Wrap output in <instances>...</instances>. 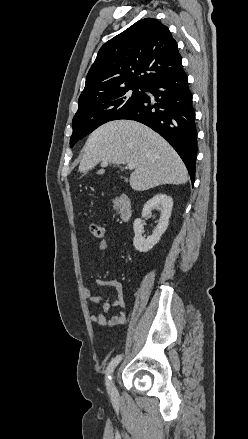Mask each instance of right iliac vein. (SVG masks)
I'll list each match as a JSON object with an SVG mask.
<instances>
[{"instance_id":"obj_1","label":"right iliac vein","mask_w":248,"mask_h":439,"mask_svg":"<svg viewBox=\"0 0 248 439\" xmlns=\"http://www.w3.org/2000/svg\"><path fill=\"white\" fill-rule=\"evenodd\" d=\"M110 395L112 397H116L117 396V391H116V388H115L113 380L111 381V384H110Z\"/></svg>"}]
</instances>
